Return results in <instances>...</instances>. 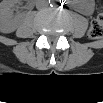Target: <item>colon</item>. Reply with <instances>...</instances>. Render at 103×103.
<instances>
[{"label":"colon","instance_id":"1","mask_svg":"<svg viewBox=\"0 0 103 103\" xmlns=\"http://www.w3.org/2000/svg\"><path fill=\"white\" fill-rule=\"evenodd\" d=\"M88 36L90 39H100L103 36V14H98L91 22Z\"/></svg>","mask_w":103,"mask_h":103}]
</instances>
